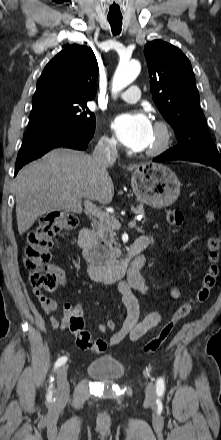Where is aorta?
<instances>
[{
  "instance_id": "aorta-1",
  "label": "aorta",
  "mask_w": 221,
  "mask_h": 440,
  "mask_svg": "<svg viewBox=\"0 0 221 440\" xmlns=\"http://www.w3.org/2000/svg\"><path fill=\"white\" fill-rule=\"evenodd\" d=\"M141 70L138 61L120 63L112 81V94L116 95L122 89L131 84L139 75Z\"/></svg>"
}]
</instances>
